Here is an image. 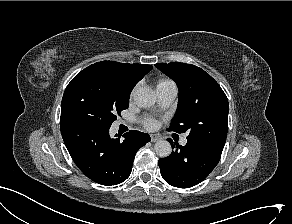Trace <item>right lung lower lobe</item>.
<instances>
[{
	"mask_svg": "<svg viewBox=\"0 0 292 224\" xmlns=\"http://www.w3.org/2000/svg\"><path fill=\"white\" fill-rule=\"evenodd\" d=\"M64 143L77 167L92 181L117 185L131 174L137 151L150 141L139 131L125 133L124 140L109 129L96 128L79 121L60 123Z\"/></svg>",
	"mask_w": 292,
	"mask_h": 224,
	"instance_id": "1",
	"label": "right lung lower lobe"
}]
</instances>
